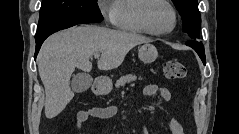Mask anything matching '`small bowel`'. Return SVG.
Here are the masks:
<instances>
[{
	"instance_id": "1",
	"label": "small bowel",
	"mask_w": 239,
	"mask_h": 134,
	"mask_svg": "<svg viewBox=\"0 0 239 134\" xmlns=\"http://www.w3.org/2000/svg\"><path fill=\"white\" fill-rule=\"evenodd\" d=\"M143 93L146 96H156L164 101H168L171 98L170 90L163 86L157 85H147L143 89ZM118 112V108L114 105L110 106H97L88 110H82L77 113L76 116V129L77 134L81 133V129L83 124L90 118H98V119H110L115 116ZM170 134H184V129L182 125L176 120L172 119L170 121ZM142 134H148V130L146 127H142Z\"/></svg>"
}]
</instances>
